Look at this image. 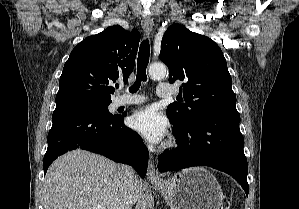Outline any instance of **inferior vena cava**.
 <instances>
[{
    "mask_svg": "<svg viewBox=\"0 0 299 209\" xmlns=\"http://www.w3.org/2000/svg\"><path fill=\"white\" fill-rule=\"evenodd\" d=\"M123 177V194L119 200L118 209H132V187L135 180V171L127 165L121 167Z\"/></svg>",
    "mask_w": 299,
    "mask_h": 209,
    "instance_id": "1",
    "label": "inferior vena cava"
}]
</instances>
